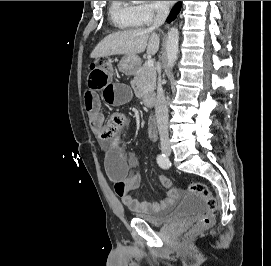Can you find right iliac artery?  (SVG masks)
I'll list each match as a JSON object with an SVG mask.
<instances>
[{
  "mask_svg": "<svg viewBox=\"0 0 271 266\" xmlns=\"http://www.w3.org/2000/svg\"><path fill=\"white\" fill-rule=\"evenodd\" d=\"M157 163L163 169H168L171 163L165 154H159L157 156Z\"/></svg>",
  "mask_w": 271,
  "mask_h": 266,
  "instance_id": "right-iliac-artery-1",
  "label": "right iliac artery"
}]
</instances>
